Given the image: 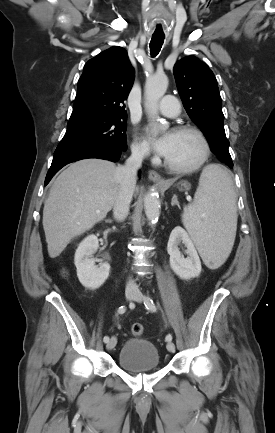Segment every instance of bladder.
<instances>
[{
	"instance_id": "bladder-1",
	"label": "bladder",
	"mask_w": 275,
	"mask_h": 433,
	"mask_svg": "<svg viewBox=\"0 0 275 433\" xmlns=\"http://www.w3.org/2000/svg\"><path fill=\"white\" fill-rule=\"evenodd\" d=\"M118 363L124 370L135 374L156 370L160 368L159 352L150 341L130 338L118 352Z\"/></svg>"
}]
</instances>
